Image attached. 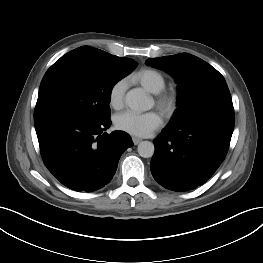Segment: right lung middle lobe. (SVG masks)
I'll return each mask as SVG.
<instances>
[{"label":"right lung middle lobe","instance_id":"right-lung-middle-lobe-1","mask_svg":"<svg viewBox=\"0 0 263 263\" xmlns=\"http://www.w3.org/2000/svg\"><path fill=\"white\" fill-rule=\"evenodd\" d=\"M136 67L133 59L112 58L89 46L70 51L45 73L34 121L55 115L109 118L113 86Z\"/></svg>","mask_w":263,"mask_h":263}]
</instances>
